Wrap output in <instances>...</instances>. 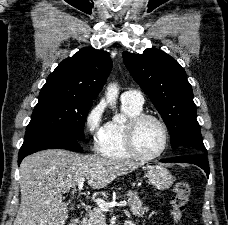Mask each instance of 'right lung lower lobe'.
<instances>
[{
	"label": "right lung lower lobe",
	"instance_id": "1",
	"mask_svg": "<svg viewBox=\"0 0 228 225\" xmlns=\"http://www.w3.org/2000/svg\"><path fill=\"white\" fill-rule=\"evenodd\" d=\"M78 141L79 140L72 138L70 135L53 132L25 135L24 143L18 155V165H20L24 157L40 150L66 149L82 152L83 150Z\"/></svg>",
	"mask_w": 228,
	"mask_h": 225
}]
</instances>
